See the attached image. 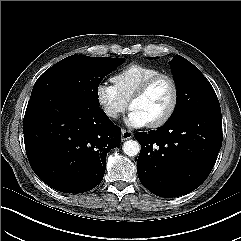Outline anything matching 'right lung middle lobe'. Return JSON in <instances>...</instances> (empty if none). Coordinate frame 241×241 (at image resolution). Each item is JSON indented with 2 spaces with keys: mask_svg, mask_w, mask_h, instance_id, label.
Masks as SVG:
<instances>
[{
  "mask_svg": "<svg viewBox=\"0 0 241 241\" xmlns=\"http://www.w3.org/2000/svg\"><path fill=\"white\" fill-rule=\"evenodd\" d=\"M124 61V58L69 56L57 62L37 79L30 99L60 94L71 97L83 105L99 107L100 82Z\"/></svg>",
  "mask_w": 241,
  "mask_h": 241,
  "instance_id": "dd1d6c3e",
  "label": "right lung middle lobe"
}]
</instances>
